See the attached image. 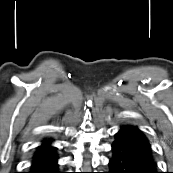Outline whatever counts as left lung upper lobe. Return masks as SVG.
<instances>
[{"label":"left lung upper lobe","mask_w":173,"mask_h":173,"mask_svg":"<svg viewBox=\"0 0 173 173\" xmlns=\"http://www.w3.org/2000/svg\"><path fill=\"white\" fill-rule=\"evenodd\" d=\"M115 141L151 152V145L146 136L134 126H122L116 134Z\"/></svg>","instance_id":"1"}]
</instances>
